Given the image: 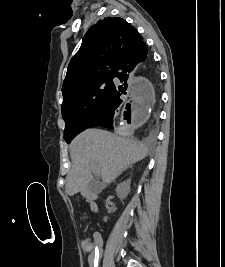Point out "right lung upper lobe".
<instances>
[{"label": "right lung upper lobe", "mask_w": 225, "mask_h": 267, "mask_svg": "<svg viewBox=\"0 0 225 267\" xmlns=\"http://www.w3.org/2000/svg\"><path fill=\"white\" fill-rule=\"evenodd\" d=\"M141 42L142 36L122 18L104 19L93 25L68 65L63 96L90 81L114 75L124 55Z\"/></svg>", "instance_id": "right-lung-upper-lobe-1"}]
</instances>
